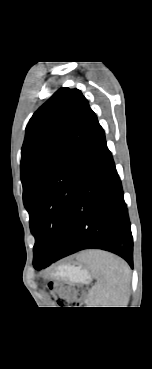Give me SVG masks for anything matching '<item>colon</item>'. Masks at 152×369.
<instances>
[{
    "label": "colon",
    "instance_id": "1",
    "mask_svg": "<svg viewBox=\"0 0 152 369\" xmlns=\"http://www.w3.org/2000/svg\"><path fill=\"white\" fill-rule=\"evenodd\" d=\"M49 291L58 306L78 304L85 296L84 289L73 284L51 283Z\"/></svg>",
    "mask_w": 152,
    "mask_h": 369
}]
</instances>
